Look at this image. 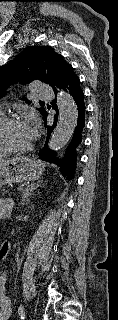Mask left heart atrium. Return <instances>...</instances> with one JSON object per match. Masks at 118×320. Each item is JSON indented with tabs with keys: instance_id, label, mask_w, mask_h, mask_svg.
<instances>
[{
	"instance_id": "left-heart-atrium-1",
	"label": "left heart atrium",
	"mask_w": 118,
	"mask_h": 320,
	"mask_svg": "<svg viewBox=\"0 0 118 320\" xmlns=\"http://www.w3.org/2000/svg\"><path fill=\"white\" fill-rule=\"evenodd\" d=\"M31 140L38 134V123L35 117H30L26 122Z\"/></svg>"
}]
</instances>
